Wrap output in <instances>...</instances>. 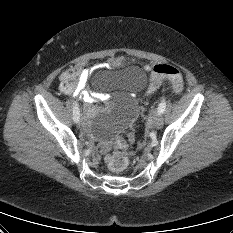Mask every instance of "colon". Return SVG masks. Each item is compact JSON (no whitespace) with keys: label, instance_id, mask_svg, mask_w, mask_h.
<instances>
[{"label":"colon","instance_id":"colon-1","mask_svg":"<svg viewBox=\"0 0 233 233\" xmlns=\"http://www.w3.org/2000/svg\"><path fill=\"white\" fill-rule=\"evenodd\" d=\"M164 79L170 80L174 93H182L184 82L180 71L176 67L167 64H159L154 67L147 93H154ZM60 80L62 90L70 92L74 90L78 84V72L75 69H69L61 75ZM116 145L119 149H125L127 147V141L125 138L119 137L116 140ZM128 164L129 160L122 151L114 152L108 159V168L113 172L119 173L124 171L128 167Z\"/></svg>","mask_w":233,"mask_h":233}]
</instances>
